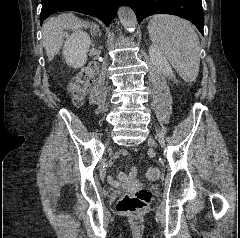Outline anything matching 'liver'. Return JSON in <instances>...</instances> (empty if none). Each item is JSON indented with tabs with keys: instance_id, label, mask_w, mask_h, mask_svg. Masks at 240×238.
Wrapping results in <instances>:
<instances>
[{
	"instance_id": "obj_1",
	"label": "liver",
	"mask_w": 240,
	"mask_h": 238,
	"mask_svg": "<svg viewBox=\"0 0 240 238\" xmlns=\"http://www.w3.org/2000/svg\"><path fill=\"white\" fill-rule=\"evenodd\" d=\"M89 26L88 22L81 21L72 13L61 14L46 21L43 25L42 35L48 60L51 61L60 51L63 39L68 35V31L88 28Z\"/></svg>"
}]
</instances>
